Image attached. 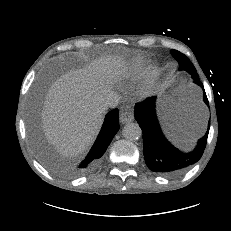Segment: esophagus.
<instances>
[{"label": "esophagus", "mask_w": 231, "mask_h": 231, "mask_svg": "<svg viewBox=\"0 0 231 231\" xmlns=\"http://www.w3.org/2000/svg\"><path fill=\"white\" fill-rule=\"evenodd\" d=\"M134 120V114L131 110H122L120 114V122L122 124L130 123Z\"/></svg>", "instance_id": "34e87169"}]
</instances>
